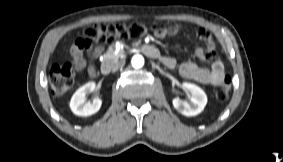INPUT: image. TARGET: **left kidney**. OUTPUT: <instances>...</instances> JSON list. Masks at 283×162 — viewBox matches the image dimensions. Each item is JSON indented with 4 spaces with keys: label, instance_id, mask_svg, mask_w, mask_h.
<instances>
[{
    "label": "left kidney",
    "instance_id": "5707ae66",
    "mask_svg": "<svg viewBox=\"0 0 283 162\" xmlns=\"http://www.w3.org/2000/svg\"><path fill=\"white\" fill-rule=\"evenodd\" d=\"M182 88L190 93L187 100H181L178 97L172 100L174 108L185 116H195L201 113L206 104L207 96L205 92L197 85L183 82Z\"/></svg>",
    "mask_w": 283,
    "mask_h": 162
}]
</instances>
